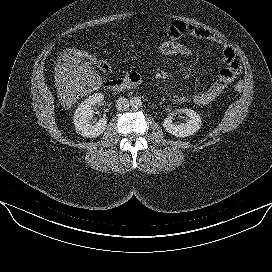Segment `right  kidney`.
I'll list each match as a JSON object with an SVG mask.
<instances>
[{"label":"right kidney","instance_id":"ca27d5eb","mask_svg":"<svg viewBox=\"0 0 272 272\" xmlns=\"http://www.w3.org/2000/svg\"><path fill=\"white\" fill-rule=\"evenodd\" d=\"M104 100L102 93H95L85 99L76 109L74 113V126L76 132L83 137L95 138L100 136L106 129L107 119L101 118L99 121H93L94 110L96 104H100Z\"/></svg>","mask_w":272,"mask_h":272}]
</instances>
